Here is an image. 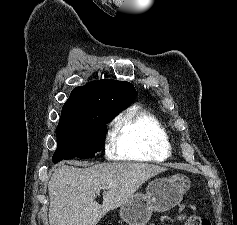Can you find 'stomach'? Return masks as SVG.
Listing matches in <instances>:
<instances>
[{
	"mask_svg": "<svg viewBox=\"0 0 237 225\" xmlns=\"http://www.w3.org/2000/svg\"><path fill=\"white\" fill-rule=\"evenodd\" d=\"M190 188L183 174L151 181L146 193H135L120 207V216L128 225H145L152 212H165L175 207Z\"/></svg>",
	"mask_w": 237,
	"mask_h": 225,
	"instance_id": "0dacf381",
	"label": "stomach"
}]
</instances>
